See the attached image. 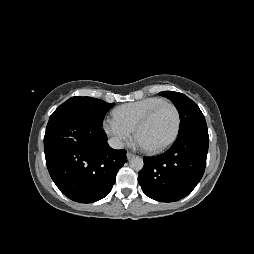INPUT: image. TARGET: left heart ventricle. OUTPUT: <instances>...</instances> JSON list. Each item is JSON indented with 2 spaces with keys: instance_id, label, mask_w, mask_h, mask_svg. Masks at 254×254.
<instances>
[{
  "instance_id": "b2bd125f",
  "label": "left heart ventricle",
  "mask_w": 254,
  "mask_h": 254,
  "mask_svg": "<svg viewBox=\"0 0 254 254\" xmlns=\"http://www.w3.org/2000/svg\"><path fill=\"white\" fill-rule=\"evenodd\" d=\"M176 125V114L172 107L164 106L144 126L138 138L142 140L146 148H155L164 144L173 134Z\"/></svg>"
}]
</instances>
